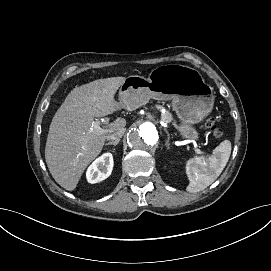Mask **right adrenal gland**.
Listing matches in <instances>:
<instances>
[{
    "label": "right adrenal gland",
    "mask_w": 271,
    "mask_h": 271,
    "mask_svg": "<svg viewBox=\"0 0 271 271\" xmlns=\"http://www.w3.org/2000/svg\"><path fill=\"white\" fill-rule=\"evenodd\" d=\"M117 144H118V142H116V141H110V142L106 143L105 146H107V145H114V146H116Z\"/></svg>",
    "instance_id": "1"
}]
</instances>
